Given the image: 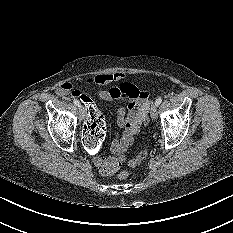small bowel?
<instances>
[{"label":"small bowel","mask_w":233,"mask_h":233,"mask_svg":"<svg viewBox=\"0 0 233 233\" xmlns=\"http://www.w3.org/2000/svg\"><path fill=\"white\" fill-rule=\"evenodd\" d=\"M124 74L113 72L101 74L87 79L88 85L106 86L111 83L121 82ZM60 96H79L80 93L70 83H64L57 89ZM99 97L107 102L125 101L126 106H121L117 110V125L122 132L112 141L111 150L114 154L122 155L132 144L134 136L139 133L143 117L149 110V94L140 90L137 86L129 82H121L118 86L99 91ZM91 101V100H90ZM85 130V126H84ZM85 137V136H84ZM94 164L99 168L103 176L116 173L121 166L120 161L114 157H94Z\"/></svg>","instance_id":"obj_1"}]
</instances>
